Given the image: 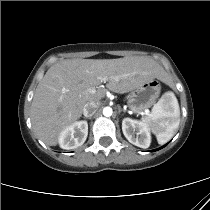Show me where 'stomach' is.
Wrapping results in <instances>:
<instances>
[{"label":"stomach","mask_w":210,"mask_h":210,"mask_svg":"<svg viewBox=\"0 0 210 210\" xmlns=\"http://www.w3.org/2000/svg\"><path fill=\"white\" fill-rule=\"evenodd\" d=\"M160 83L150 80L132 90L127 96V103L134 113H140L155 104L159 93Z\"/></svg>","instance_id":"0dacf381"}]
</instances>
